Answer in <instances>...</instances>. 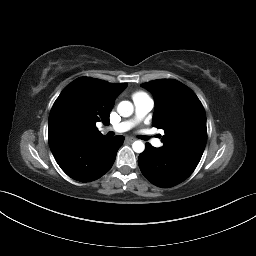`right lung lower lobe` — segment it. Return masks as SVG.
<instances>
[{
  "instance_id": "1",
  "label": "right lung lower lobe",
  "mask_w": 256,
  "mask_h": 256,
  "mask_svg": "<svg viewBox=\"0 0 256 256\" xmlns=\"http://www.w3.org/2000/svg\"><path fill=\"white\" fill-rule=\"evenodd\" d=\"M124 139L123 136L111 139L101 136L69 145L53 155L69 177L80 182H91L110 170Z\"/></svg>"
}]
</instances>
